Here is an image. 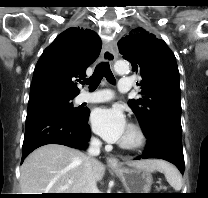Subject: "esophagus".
<instances>
[{"label": "esophagus", "mask_w": 208, "mask_h": 198, "mask_svg": "<svg viewBox=\"0 0 208 198\" xmlns=\"http://www.w3.org/2000/svg\"><path fill=\"white\" fill-rule=\"evenodd\" d=\"M103 60L106 62L113 63L115 58H116V53L111 44H106L103 48V53H102ZM107 164L110 167H119V161L116 157L110 156L107 158Z\"/></svg>", "instance_id": "1"}]
</instances>
